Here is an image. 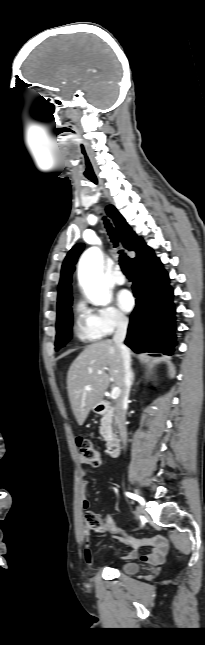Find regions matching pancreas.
I'll list each match as a JSON object with an SVG mask.
<instances>
[{
    "mask_svg": "<svg viewBox=\"0 0 205 645\" xmlns=\"http://www.w3.org/2000/svg\"><path fill=\"white\" fill-rule=\"evenodd\" d=\"M99 433L102 435L105 441H109L113 436L112 433V415L105 414L101 420V426Z\"/></svg>",
    "mask_w": 205,
    "mask_h": 645,
    "instance_id": "obj_1",
    "label": "pancreas"
}]
</instances>
